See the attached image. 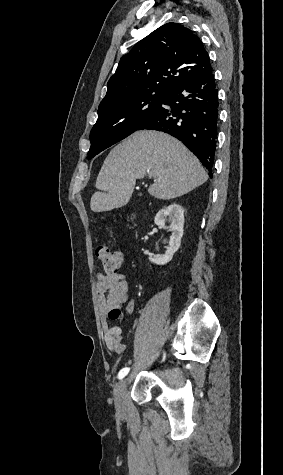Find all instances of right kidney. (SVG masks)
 Masks as SVG:
<instances>
[{
    "label": "right kidney",
    "instance_id": "obj_1",
    "mask_svg": "<svg viewBox=\"0 0 283 475\" xmlns=\"http://www.w3.org/2000/svg\"><path fill=\"white\" fill-rule=\"evenodd\" d=\"M154 222L159 228H169L168 232H172L169 247H167L165 253L158 255V257H148L153 263L164 265V263L171 261L175 251L180 247L184 232V210L179 204H171V206L162 208V210L156 214ZM166 222H169L170 226H166Z\"/></svg>",
    "mask_w": 283,
    "mask_h": 475
}]
</instances>
